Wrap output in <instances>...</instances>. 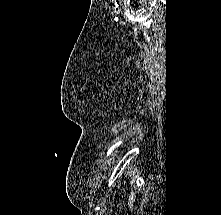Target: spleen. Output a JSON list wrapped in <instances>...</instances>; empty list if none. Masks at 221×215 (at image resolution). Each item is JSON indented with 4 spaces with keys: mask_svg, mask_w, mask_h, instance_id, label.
Here are the masks:
<instances>
[{
    "mask_svg": "<svg viewBox=\"0 0 221 215\" xmlns=\"http://www.w3.org/2000/svg\"><path fill=\"white\" fill-rule=\"evenodd\" d=\"M133 202H134V193L131 194V196H130V198H129V203H128V205H129L130 207H132V206H133Z\"/></svg>",
    "mask_w": 221,
    "mask_h": 215,
    "instance_id": "1",
    "label": "spleen"
}]
</instances>
